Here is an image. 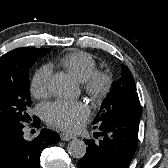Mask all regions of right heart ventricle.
Listing matches in <instances>:
<instances>
[{
    "instance_id": "e07e8e85",
    "label": "right heart ventricle",
    "mask_w": 168,
    "mask_h": 168,
    "mask_svg": "<svg viewBox=\"0 0 168 168\" xmlns=\"http://www.w3.org/2000/svg\"><path fill=\"white\" fill-rule=\"evenodd\" d=\"M60 64L80 82L86 81L97 71V63L94 57L83 51H75L64 55Z\"/></svg>"
}]
</instances>
